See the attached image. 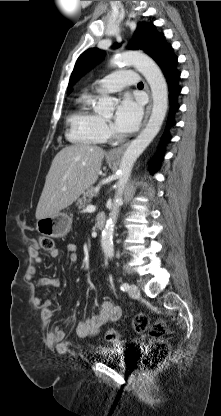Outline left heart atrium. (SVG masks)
Here are the masks:
<instances>
[{
	"mask_svg": "<svg viewBox=\"0 0 221 416\" xmlns=\"http://www.w3.org/2000/svg\"><path fill=\"white\" fill-rule=\"evenodd\" d=\"M142 117V107L133 98L124 97L117 106L114 117V130L120 134L135 131Z\"/></svg>",
	"mask_w": 221,
	"mask_h": 416,
	"instance_id": "1",
	"label": "left heart atrium"
}]
</instances>
